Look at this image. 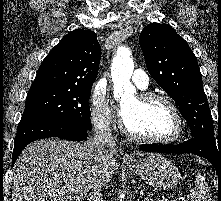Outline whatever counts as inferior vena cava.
Here are the masks:
<instances>
[{
  "mask_svg": "<svg viewBox=\"0 0 221 201\" xmlns=\"http://www.w3.org/2000/svg\"><path fill=\"white\" fill-rule=\"evenodd\" d=\"M109 146H115V141L111 134L109 121L107 119H103L101 122L95 125V135L92 140L94 153L100 162L105 159V156L107 155L106 147ZM102 187L103 185L98 180L92 188L89 201H103L101 193Z\"/></svg>",
  "mask_w": 221,
  "mask_h": 201,
  "instance_id": "obj_1",
  "label": "inferior vena cava"
}]
</instances>
